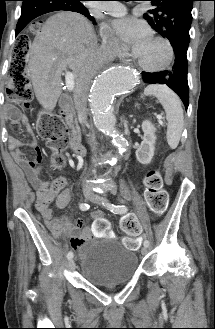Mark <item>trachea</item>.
<instances>
[{
    "mask_svg": "<svg viewBox=\"0 0 215 329\" xmlns=\"http://www.w3.org/2000/svg\"><path fill=\"white\" fill-rule=\"evenodd\" d=\"M122 1H132V0H122Z\"/></svg>",
    "mask_w": 215,
    "mask_h": 329,
    "instance_id": "trachea-1",
    "label": "trachea"
}]
</instances>
